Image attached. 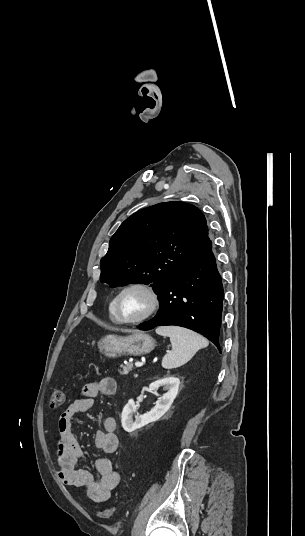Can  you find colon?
I'll list each match as a JSON object with an SVG mask.
<instances>
[{"label": "colon", "instance_id": "colon-1", "mask_svg": "<svg viewBox=\"0 0 305 536\" xmlns=\"http://www.w3.org/2000/svg\"><path fill=\"white\" fill-rule=\"evenodd\" d=\"M50 408L57 410L66 403V394L63 390H54L50 394ZM113 514V508H105L102 511L97 512V516L101 519H107Z\"/></svg>", "mask_w": 305, "mask_h": 536}]
</instances>
